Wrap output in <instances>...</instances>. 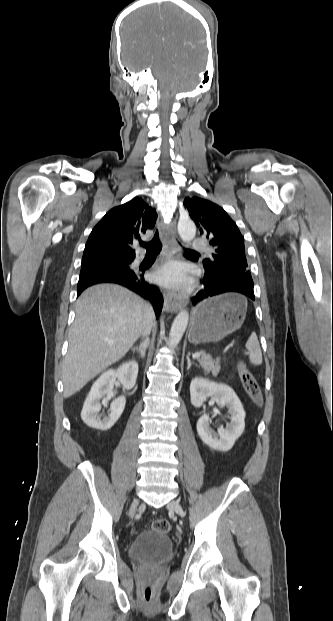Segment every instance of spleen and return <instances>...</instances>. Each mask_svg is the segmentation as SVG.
I'll return each mask as SVG.
<instances>
[{"label": "spleen", "instance_id": "3e777b00", "mask_svg": "<svg viewBox=\"0 0 333 621\" xmlns=\"http://www.w3.org/2000/svg\"><path fill=\"white\" fill-rule=\"evenodd\" d=\"M248 350L249 360L253 365H260L262 363V352L259 346V342L255 333L251 334L245 345Z\"/></svg>", "mask_w": 333, "mask_h": 621}]
</instances>
